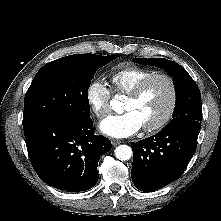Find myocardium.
Here are the masks:
<instances>
[{"label": "myocardium", "mask_w": 221, "mask_h": 221, "mask_svg": "<svg viewBox=\"0 0 221 221\" xmlns=\"http://www.w3.org/2000/svg\"><path fill=\"white\" fill-rule=\"evenodd\" d=\"M156 78L164 79L168 83L170 87V103L166 113L159 121L149 126H143V130L149 133L158 131L166 126L175 113L178 102V89L175 80L166 73L154 72L138 82V84L127 94L129 99H138L144 92L147 85Z\"/></svg>", "instance_id": "myocardium-1"}]
</instances>
